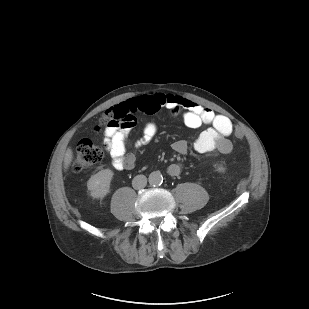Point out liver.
Wrapping results in <instances>:
<instances>
[{
	"instance_id": "obj_1",
	"label": "liver",
	"mask_w": 309,
	"mask_h": 309,
	"mask_svg": "<svg viewBox=\"0 0 309 309\" xmlns=\"http://www.w3.org/2000/svg\"><path fill=\"white\" fill-rule=\"evenodd\" d=\"M73 160V151L68 148L64 156V169L67 170Z\"/></svg>"
}]
</instances>
